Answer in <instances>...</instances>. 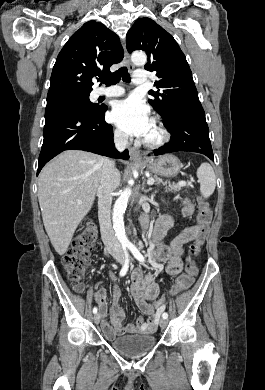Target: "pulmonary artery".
I'll list each match as a JSON object with an SVG mask.
<instances>
[{
	"mask_svg": "<svg viewBox=\"0 0 265 390\" xmlns=\"http://www.w3.org/2000/svg\"><path fill=\"white\" fill-rule=\"evenodd\" d=\"M147 82H148V77H147L146 70H137L134 73L133 83L135 85H145ZM123 94H124V89L119 86L103 88L97 91L98 96H106V97H118Z\"/></svg>",
	"mask_w": 265,
	"mask_h": 390,
	"instance_id": "obj_1",
	"label": "pulmonary artery"
}]
</instances>
